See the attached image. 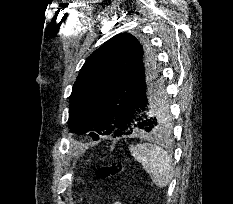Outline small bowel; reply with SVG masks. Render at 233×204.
Segmentation results:
<instances>
[{"label":"small bowel","mask_w":233,"mask_h":204,"mask_svg":"<svg viewBox=\"0 0 233 204\" xmlns=\"http://www.w3.org/2000/svg\"><path fill=\"white\" fill-rule=\"evenodd\" d=\"M113 204H120L119 202H117V201H115V202H113Z\"/></svg>","instance_id":"small-bowel-1"}]
</instances>
